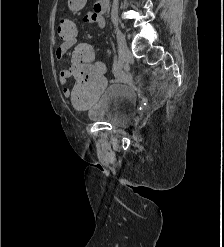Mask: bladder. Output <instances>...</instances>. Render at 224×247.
Returning a JSON list of instances; mask_svg holds the SVG:
<instances>
[{
  "label": "bladder",
  "mask_w": 224,
  "mask_h": 247,
  "mask_svg": "<svg viewBox=\"0 0 224 247\" xmlns=\"http://www.w3.org/2000/svg\"><path fill=\"white\" fill-rule=\"evenodd\" d=\"M137 95L128 84L109 85L86 110V116L95 122H105L116 127L131 125L136 116Z\"/></svg>",
  "instance_id": "bladder-1"
}]
</instances>
